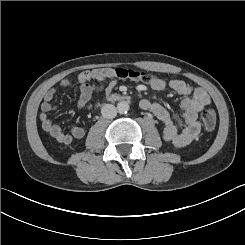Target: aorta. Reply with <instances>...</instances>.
<instances>
[{"label": "aorta", "mask_w": 245, "mask_h": 245, "mask_svg": "<svg viewBox=\"0 0 245 245\" xmlns=\"http://www.w3.org/2000/svg\"><path fill=\"white\" fill-rule=\"evenodd\" d=\"M118 112L121 114L127 113L130 109L129 103L127 101H120L117 104Z\"/></svg>", "instance_id": "obj_1"}]
</instances>
